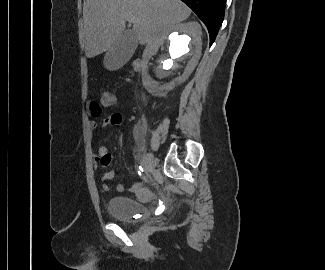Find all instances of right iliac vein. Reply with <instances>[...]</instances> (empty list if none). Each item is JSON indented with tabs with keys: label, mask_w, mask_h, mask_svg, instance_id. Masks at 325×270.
<instances>
[{
	"label": "right iliac vein",
	"mask_w": 325,
	"mask_h": 270,
	"mask_svg": "<svg viewBox=\"0 0 325 270\" xmlns=\"http://www.w3.org/2000/svg\"><path fill=\"white\" fill-rule=\"evenodd\" d=\"M145 165L150 169H154L157 165L156 158L152 155L151 158L147 162H145Z\"/></svg>",
	"instance_id": "63e3f726"
}]
</instances>
